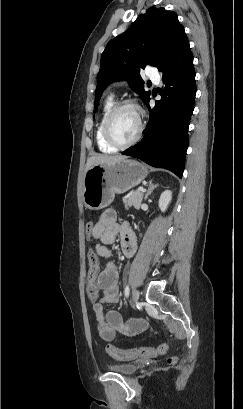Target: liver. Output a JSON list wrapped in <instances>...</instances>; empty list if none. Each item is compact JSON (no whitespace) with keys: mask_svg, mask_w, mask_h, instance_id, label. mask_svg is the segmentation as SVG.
<instances>
[{"mask_svg":"<svg viewBox=\"0 0 243 409\" xmlns=\"http://www.w3.org/2000/svg\"><path fill=\"white\" fill-rule=\"evenodd\" d=\"M122 159H126V156L122 155H115V156H107V155H95L90 157L87 160L85 171L88 170L90 167L94 165H104V164H112Z\"/></svg>","mask_w":243,"mask_h":409,"instance_id":"liver-1","label":"liver"}]
</instances>
